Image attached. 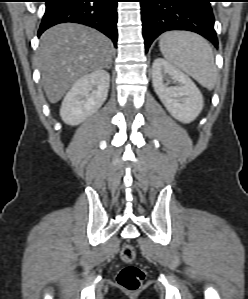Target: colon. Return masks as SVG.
Here are the masks:
<instances>
[{"label":"colon","instance_id":"5ec220e1","mask_svg":"<svg viewBox=\"0 0 248 299\" xmlns=\"http://www.w3.org/2000/svg\"><path fill=\"white\" fill-rule=\"evenodd\" d=\"M136 250L132 244H126L121 250V259L126 264L117 276L118 285L129 292H135L140 289L145 279V271L140 266L134 264Z\"/></svg>","mask_w":248,"mask_h":299}]
</instances>
